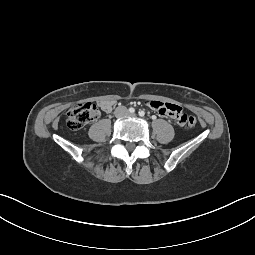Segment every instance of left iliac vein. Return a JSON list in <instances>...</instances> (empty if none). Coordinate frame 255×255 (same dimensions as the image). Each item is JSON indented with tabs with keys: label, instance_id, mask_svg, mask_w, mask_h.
<instances>
[{
	"label": "left iliac vein",
	"instance_id": "1",
	"mask_svg": "<svg viewBox=\"0 0 255 255\" xmlns=\"http://www.w3.org/2000/svg\"><path fill=\"white\" fill-rule=\"evenodd\" d=\"M128 116L134 118L136 117V114H129Z\"/></svg>",
	"mask_w": 255,
	"mask_h": 255
}]
</instances>
